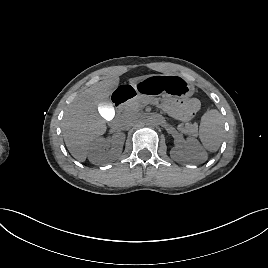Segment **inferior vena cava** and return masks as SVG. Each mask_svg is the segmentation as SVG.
Returning <instances> with one entry per match:
<instances>
[{"mask_svg":"<svg viewBox=\"0 0 268 268\" xmlns=\"http://www.w3.org/2000/svg\"><path fill=\"white\" fill-rule=\"evenodd\" d=\"M137 120L134 114H126L119 120V126L121 129H127L131 127Z\"/></svg>","mask_w":268,"mask_h":268,"instance_id":"obj_1","label":"inferior vena cava"}]
</instances>
